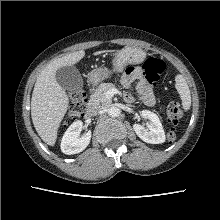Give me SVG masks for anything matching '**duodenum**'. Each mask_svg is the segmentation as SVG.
I'll list each match as a JSON object with an SVG mask.
<instances>
[{
  "label": "duodenum",
  "mask_w": 220,
  "mask_h": 220,
  "mask_svg": "<svg viewBox=\"0 0 220 220\" xmlns=\"http://www.w3.org/2000/svg\"><path fill=\"white\" fill-rule=\"evenodd\" d=\"M94 110H95L94 104L91 103V104L88 106V108L86 109V112H85L86 118L92 117L93 114H94Z\"/></svg>",
  "instance_id": "410a0bca"
}]
</instances>
